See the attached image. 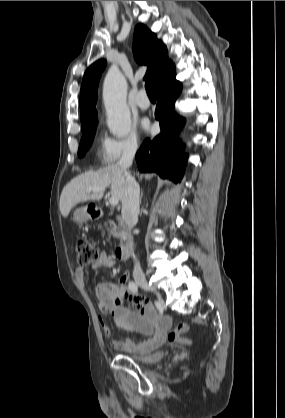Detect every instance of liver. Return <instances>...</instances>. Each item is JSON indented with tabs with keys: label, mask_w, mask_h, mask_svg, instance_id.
I'll return each mask as SVG.
<instances>
[{
	"label": "liver",
	"mask_w": 285,
	"mask_h": 418,
	"mask_svg": "<svg viewBox=\"0 0 285 418\" xmlns=\"http://www.w3.org/2000/svg\"><path fill=\"white\" fill-rule=\"evenodd\" d=\"M111 186V196L122 200L125 189V175L117 165H109L98 171H89L72 179L62 190L60 196V213L66 218L78 203L88 200H100L104 191L87 192L94 187Z\"/></svg>",
	"instance_id": "1"
}]
</instances>
